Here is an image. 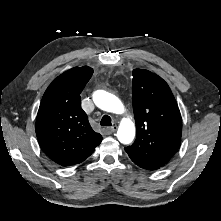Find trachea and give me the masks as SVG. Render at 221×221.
I'll list each match as a JSON object with an SVG mask.
<instances>
[{"label":"trachea","mask_w":221,"mask_h":221,"mask_svg":"<svg viewBox=\"0 0 221 221\" xmlns=\"http://www.w3.org/2000/svg\"><path fill=\"white\" fill-rule=\"evenodd\" d=\"M100 124H101L102 126H111V125H112V119H111V117L108 116V115H104V116L102 117V119H101Z\"/></svg>","instance_id":"1"}]
</instances>
